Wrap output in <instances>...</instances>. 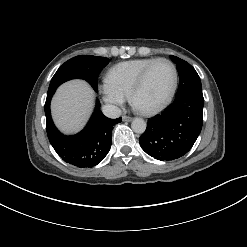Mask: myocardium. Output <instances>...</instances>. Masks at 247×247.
I'll return each mask as SVG.
<instances>
[{
  "instance_id": "f54148a6",
  "label": "myocardium",
  "mask_w": 247,
  "mask_h": 247,
  "mask_svg": "<svg viewBox=\"0 0 247 247\" xmlns=\"http://www.w3.org/2000/svg\"><path fill=\"white\" fill-rule=\"evenodd\" d=\"M159 62H166V63L170 64V66L172 67L173 83H172L171 89H170L167 97L159 105H157L153 108H150V109H141V108L136 106L135 96H136L137 92L139 91V89L144 84L146 77H147L148 73L150 72V70L153 68L154 65H156ZM177 85H178V70H177L175 63L173 61H171L170 59H167V58H157L153 62H151L149 65H147L141 71V73L139 74V76L137 77V79L135 80L134 84L132 85V87L130 89L129 98H130L132 105L135 108H137L141 113L146 114V115H154V114L161 112L163 109H165L168 106V104L171 102V100H172V98L176 92Z\"/></svg>"
}]
</instances>
